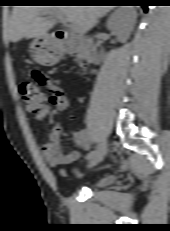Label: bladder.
I'll list each match as a JSON object with an SVG mask.
<instances>
[{
    "label": "bladder",
    "mask_w": 170,
    "mask_h": 231,
    "mask_svg": "<svg viewBox=\"0 0 170 231\" xmlns=\"http://www.w3.org/2000/svg\"><path fill=\"white\" fill-rule=\"evenodd\" d=\"M117 179H118V175L116 174L107 175L95 181L93 187L96 189L106 188L113 185L117 181Z\"/></svg>",
    "instance_id": "bladder-1"
}]
</instances>
